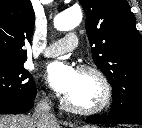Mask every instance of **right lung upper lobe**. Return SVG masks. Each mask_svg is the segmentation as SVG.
Masks as SVG:
<instances>
[{"label": "right lung upper lobe", "instance_id": "cb5924a9", "mask_svg": "<svg viewBox=\"0 0 142 128\" xmlns=\"http://www.w3.org/2000/svg\"><path fill=\"white\" fill-rule=\"evenodd\" d=\"M35 14L30 0H0V66L23 65Z\"/></svg>", "mask_w": 142, "mask_h": 128}]
</instances>
